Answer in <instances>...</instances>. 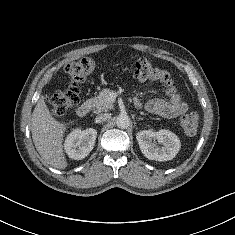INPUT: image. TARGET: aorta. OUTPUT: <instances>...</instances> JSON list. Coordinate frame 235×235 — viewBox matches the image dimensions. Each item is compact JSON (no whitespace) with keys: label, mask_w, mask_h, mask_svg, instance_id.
<instances>
[{"label":"aorta","mask_w":235,"mask_h":235,"mask_svg":"<svg viewBox=\"0 0 235 235\" xmlns=\"http://www.w3.org/2000/svg\"><path fill=\"white\" fill-rule=\"evenodd\" d=\"M131 120L128 115L120 114L116 119V124L121 129H126L130 126Z\"/></svg>","instance_id":"762f6f07"}]
</instances>
